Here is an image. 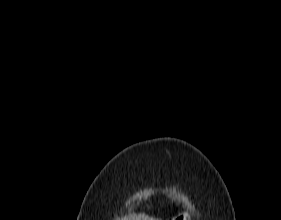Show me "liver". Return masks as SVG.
<instances>
[{
	"label": "liver",
	"mask_w": 281,
	"mask_h": 220,
	"mask_svg": "<svg viewBox=\"0 0 281 220\" xmlns=\"http://www.w3.org/2000/svg\"><path fill=\"white\" fill-rule=\"evenodd\" d=\"M128 220H158V219H155L153 217H148L147 215L145 214H130L128 216Z\"/></svg>",
	"instance_id": "6515ba94"
}]
</instances>
